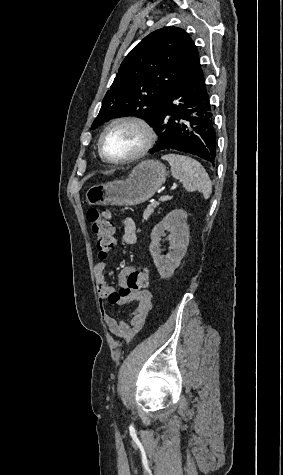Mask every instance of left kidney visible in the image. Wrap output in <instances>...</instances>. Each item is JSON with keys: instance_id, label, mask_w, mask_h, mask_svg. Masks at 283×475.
Here are the masks:
<instances>
[{"instance_id": "1", "label": "left kidney", "mask_w": 283, "mask_h": 475, "mask_svg": "<svg viewBox=\"0 0 283 475\" xmlns=\"http://www.w3.org/2000/svg\"><path fill=\"white\" fill-rule=\"evenodd\" d=\"M165 230H169L168 236L170 243V253L161 255L160 249L161 236H166ZM151 243L149 251L153 257V261L161 275V277H172L174 269L181 263L187 251L189 243V226L187 224V212L184 210H172L159 222L152 230Z\"/></svg>"}]
</instances>
